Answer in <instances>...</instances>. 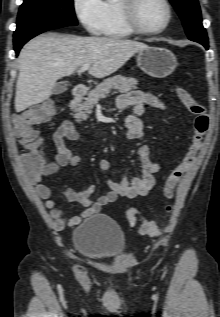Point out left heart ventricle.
<instances>
[{"mask_svg":"<svg viewBox=\"0 0 220 317\" xmlns=\"http://www.w3.org/2000/svg\"><path fill=\"white\" fill-rule=\"evenodd\" d=\"M167 18V10L161 0H142L138 9V20L146 29L162 27Z\"/></svg>","mask_w":220,"mask_h":317,"instance_id":"obj_1","label":"left heart ventricle"}]
</instances>
